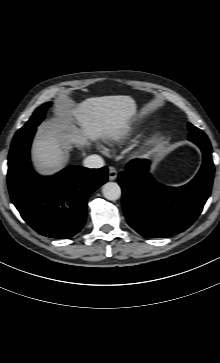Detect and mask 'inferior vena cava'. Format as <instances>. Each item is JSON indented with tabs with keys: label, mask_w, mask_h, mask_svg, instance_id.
I'll use <instances>...</instances> for the list:
<instances>
[{
	"label": "inferior vena cava",
	"mask_w": 220,
	"mask_h": 363,
	"mask_svg": "<svg viewBox=\"0 0 220 363\" xmlns=\"http://www.w3.org/2000/svg\"><path fill=\"white\" fill-rule=\"evenodd\" d=\"M83 164L87 168H101L104 161L99 155H90L84 159Z\"/></svg>",
	"instance_id": "602c4592"
}]
</instances>
